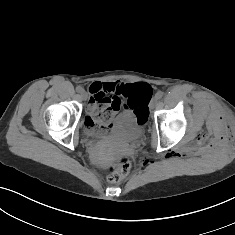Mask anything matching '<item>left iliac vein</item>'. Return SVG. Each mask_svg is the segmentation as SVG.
Segmentation results:
<instances>
[{
    "instance_id": "1",
    "label": "left iliac vein",
    "mask_w": 235,
    "mask_h": 235,
    "mask_svg": "<svg viewBox=\"0 0 235 235\" xmlns=\"http://www.w3.org/2000/svg\"><path fill=\"white\" fill-rule=\"evenodd\" d=\"M156 103H157V98H156V97H153V98L151 99L150 104H149L150 108H151V109H154Z\"/></svg>"
}]
</instances>
